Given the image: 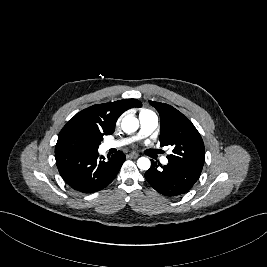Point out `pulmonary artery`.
I'll use <instances>...</instances> for the list:
<instances>
[{
    "instance_id": "obj_1",
    "label": "pulmonary artery",
    "mask_w": 267,
    "mask_h": 267,
    "mask_svg": "<svg viewBox=\"0 0 267 267\" xmlns=\"http://www.w3.org/2000/svg\"><path fill=\"white\" fill-rule=\"evenodd\" d=\"M139 119H140L141 129H140L137 137H135L133 139H137V138H141V137H145V136L150 135L158 126V117L153 112L140 114ZM133 139H126V140H120V141H106L103 143L102 148L104 150H109L111 148H117V147L123 146L125 144H128ZM161 163L167 164L168 163L167 157H162Z\"/></svg>"
}]
</instances>
